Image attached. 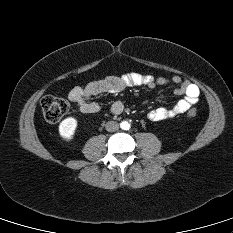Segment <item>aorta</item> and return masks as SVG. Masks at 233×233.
<instances>
[{"label": "aorta", "mask_w": 233, "mask_h": 233, "mask_svg": "<svg viewBox=\"0 0 233 233\" xmlns=\"http://www.w3.org/2000/svg\"><path fill=\"white\" fill-rule=\"evenodd\" d=\"M120 127L123 130H128L130 128V124L127 121H123V122H121Z\"/></svg>", "instance_id": "aorta-1"}]
</instances>
